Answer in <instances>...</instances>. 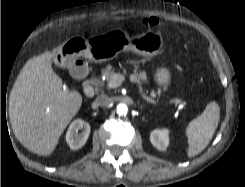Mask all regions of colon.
Here are the masks:
<instances>
[{
  "label": "colon",
  "instance_id": "colon-1",
  "mask_svg": "<svg viewBox=\"0 0 245 187\" xmlns=\"http://www.w3.org/2000/svg\"><path fill=\"white\" fill-rule=\"evenodd\" d=\"M159 20L158 19H156V18H146V19H144L143 20V24L145 25V26H150V27H154V26H157V25H159Z\"/></svg>",
  "mask_w": 245,
  "mask_h": 187
}]
</instances>
